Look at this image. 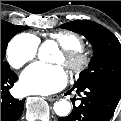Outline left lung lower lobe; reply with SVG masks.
<instances>
[{"label":"left lung lower lobe","instance_id":"left-lung-lower-lobe-1","mask_svg":"<svg viewBox=\"0 0 121 121\" xmlns=\"http://www.w3.org/2000/svg\"><path fill=\"white\" fill-rule=\"evenodd\" d=\"M74 89L78 94H84L81 104L73 106L71 114L60 117L59 121H109L121 97L112 89L96 83L74 85L67 94Z\"/></svg>","mask_w":121,"mask_h":121}]
</instances>
